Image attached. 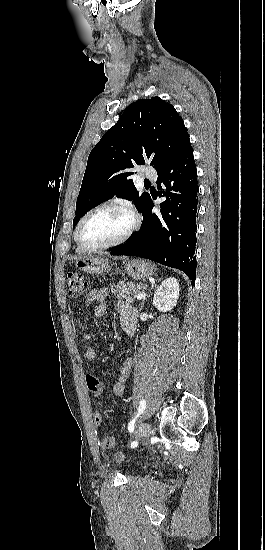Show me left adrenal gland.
Listing matches in <instances>:
<instances>
[{
	"mask_svg": "<svg viewBox=\"0 0 265 550\" xmlns=\"http://www.w3.org/2000/svg\"><path fill=\"white\" fill-rule=\"evenodd\" d=\"M154 285L151 287V289H153ZM149 297V295H146V297L143 299L141 305H140V311L143 309V306H144V301L146 300V298Z\"/></svg>",
	"mask_w": 265,
	"mask_h": 550,
	"instance_id": "1",
	"label": "left adrenal gland"
}]
</instances>
